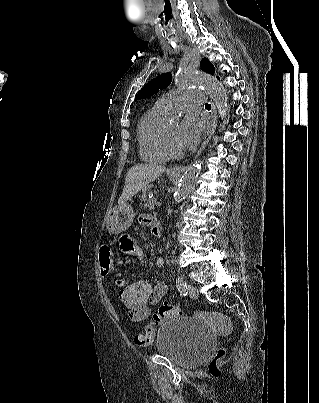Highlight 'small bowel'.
<instances>
[{"instance_id":"obj_1","label":"small bowel","mask_w":319,"mask_h":403,"mask_svg":"<svg viewBox=\"0 0 319 403\" xmlns=\"http://www.w3.org/2000/svg\"><path fill=\"white\" fill-rule=\"evenodd\" d=\"M156 221L155 217L150 215H142L139 217V223L141 225L149 226L153 234H159V222L158 227H155ZM115 245L121 247V260H130V254H134L138 261H141L143 257L142 250L137 247L133 239H130L129 234H118L115 236ZM164 264L162 258L157 260V266L161 267ZM113 270V255L111 250L107 245H103L101 250H99V272L106 275H111ZM136 282H146V281H136ZM167 285L165 283H158L148 291L149 297V310L148 313H128L127 318L129 321L136 323L142 321L151 313L152 307L159 303V301L164 297L167 292ZM120 289V299H121ZM122 301V299H121ZM123 302V301H122Z\"/></svg>"}]
</instances>
